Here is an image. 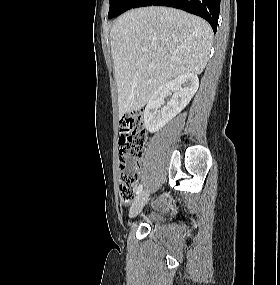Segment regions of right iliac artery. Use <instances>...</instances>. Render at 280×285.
I'll use <instances>...</instances> for the list:
<instances>
[{
    "label": "right iliac artery",
    "mask_w": 280,
    "mask_h": 285,
    "mask_svg": "<svg viewBox=\"0 0 280 285\" xmlns=\"http://www.w3.org/2000/svg\"><path fill=\"white\" fill-rule=\"evenodd\" d=\"M142 185L140 184L139 187L137 188L136 194L139 195L142 192Z\"/></svg>",
    "instance_id": "1"
}]
</instances>
